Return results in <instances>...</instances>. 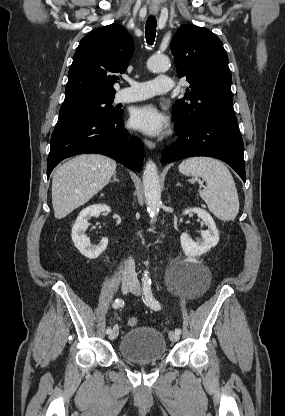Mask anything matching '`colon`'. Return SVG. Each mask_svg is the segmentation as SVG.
I'll use <instances>...</instances> for the list:
<instances>
[{
  "mask_svg": "<svg viewBox=\"0 0 285 416\" xmlns=\"http://www.w3.org/2000/svg\"><path fill=\"white\" fill-rule=\"evenodd\" d=\"M128 326L134 327L138 324V320L134 317L130 318L127 322Z\"/></svg>",
  "mask_w": 285,
  "mask_h": 416,
  "instance_id": "obj_1",
  "label": "colon"
}]
</instances>
